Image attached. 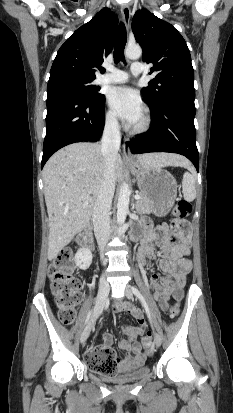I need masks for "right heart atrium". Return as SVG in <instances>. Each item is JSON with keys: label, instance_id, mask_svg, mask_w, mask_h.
<instances>
[{"label": "right heart atrium", "instance_id": "1", "mask_svg": "<svg viewBox=\"0 0 233 413\" xmlns=\"http://www.w3.org/2000/svg\"><path fill=\"white\" fill-rule=\"evenodd\" d=\"M105 123L111 129H116L119 126L116 115L113 111L108 110L105 113Z\"/></svg>", "mask_w": 233, "mask_h": 413}]
</instances>
